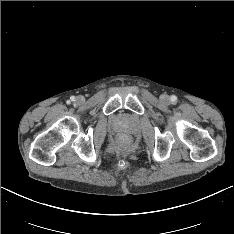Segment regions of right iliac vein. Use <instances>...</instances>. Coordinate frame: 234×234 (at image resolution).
<instances>
[{
	"instance_id": "right-iliac-vein-1",
	"label": "right iliac vein",
	"mask_w": 234,
	"mask_h": 234,
	"mask_svg": "<svg viewBox=\"0 0 234 234\" xmlns=\"http://www.w3.org/2000/svg\"><path fill=\"white\" fill-rule=\"evenodd\" d=\"M77 101H78V102H81V101H82V97H78V98H77Z\"/></svg>"
}]
</instances>
